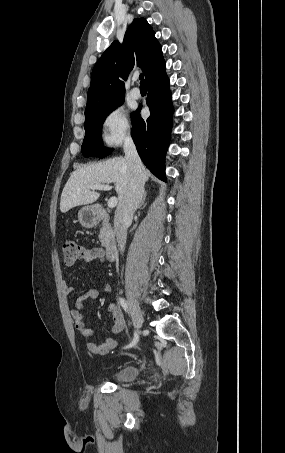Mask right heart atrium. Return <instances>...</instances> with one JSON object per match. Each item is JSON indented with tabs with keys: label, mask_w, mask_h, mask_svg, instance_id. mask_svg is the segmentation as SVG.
<instances>
[{
	"label": "right heart atrium",
	"mask_w": 285,
	"mask_h": 453,
	"mask_svg": "<svg viewBox=\"0 0 285 453\" xmlns=\"http://www.w3.org/2000/svg\"><path fill=\"white\" fill-rule=\"evenodd\" d=\"M102 140L108 147H118L131 136V124L123 107L110 110L102 122Z\"/></svg>",
	"instance_id": "1"
}]
</instances>
